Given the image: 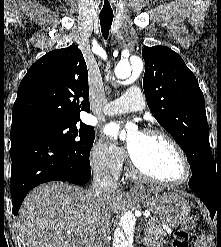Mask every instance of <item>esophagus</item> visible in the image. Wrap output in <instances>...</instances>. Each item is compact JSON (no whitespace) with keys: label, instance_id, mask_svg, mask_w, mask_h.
Here are the masks:
<instances>
[{"label":"esophagus","instance_id":"esophagus-1","mask_svg":"<svg viewBox=\"0 0 221 247\" xmlns=\"http://www.w3.org/2000/svg\"><path fill=\"white\" fill-rule=\"evenodd\" d=\"M131 192L137 193V192H139V190L137 188H132Z\"/></svg>","mask_w":221,"mask_h":247}]
</instances>
